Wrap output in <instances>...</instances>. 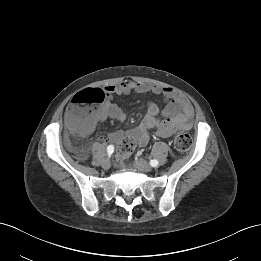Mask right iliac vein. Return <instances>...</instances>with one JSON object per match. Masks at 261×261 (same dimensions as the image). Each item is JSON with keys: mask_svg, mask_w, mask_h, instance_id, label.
Instances as JSON below:
<instances>
[{"mask_svg": "<svg viewBox=\"0 0 261 261\" xmlns=\"http://www.w3.org/2000/svg\"><path fill=\"white\" fill-rule=\"evenodd\" d=\"M110 166H111V163H110V161H109L108 159H104V160L102 161V167H103L104 169H109Z\"/></svg>", "mask_w": 261, "mask_h": 261, "instance_id": "1", "label": "right iliac vein"}]
</instances>
